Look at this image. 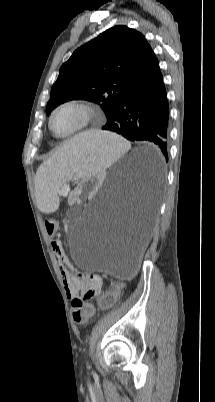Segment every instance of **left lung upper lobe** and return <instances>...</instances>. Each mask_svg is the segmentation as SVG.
Returning a JSON list of instances; mask_svg holds the SVG:
<instances>
[{
  "mask_svg": "<svg viewBox=\"0 0 215 402\" xmlns=\"http://www.w3.org/2000/svg\"><path fill=\"white\" fill-rule=\"evenodd\" d=\"M157 62L140 32L112 27L75 50L61 66L46 113L69 100L82 99L99 104L108 120L133 84Z\"/></svg>",
  "mask_w": 215,
  "mask_h": 402,
  "instance_id": "obj_1",
  "label": "left lung upper lobe"
}]
</instances>
